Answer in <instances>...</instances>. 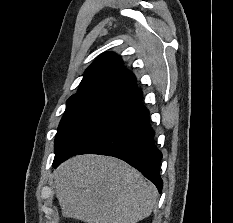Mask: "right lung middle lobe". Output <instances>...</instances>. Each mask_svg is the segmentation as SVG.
Segmentation results:
<instances>
[{
  "mask_svg": "<svg viewBox=\"0 0 233 223\" xmlns=\"http://www.w3.org/2000/svg\"><path fill=\"white\" fill-rule=\"evenodd\" d=\"M126 102L116 92L71 96L55 140L56 154H75L103 132L123 111Z\"/></svg>",
  "mask_w": 233,
  "mask_h": 223,
  "instance_id": "1",
  "label": "right lung middle lobe"
}]
</instances>
